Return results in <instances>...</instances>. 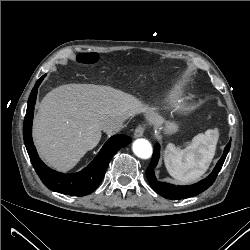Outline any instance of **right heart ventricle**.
I'll return each instance as SVG.
<instances>
[{"label": "right heart ventricle", "instance_id": "right-heart-ventricle-1", "mask_svg": "<svg viewBox=\"0 0 250 250\" xmlns=\"http://www.w3.org/2000/svg\"><path fill=\"white\" fill-rule=\"evenodd\" d=\"M179 93V88L175 85L171 90V95L176 96Z\"/></svg>", "mask_w": 250, "mask_h": 250}]
</instances>
